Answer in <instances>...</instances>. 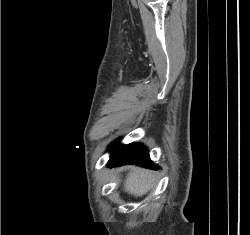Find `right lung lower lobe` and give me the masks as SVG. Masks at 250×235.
Listing matches in <instances>:
<instances>
[{"instance_id": "obj_1", "label": "right lung lower lobe", "mask_w": 250, "mask_h": 235, "mask_svg": "<svg viewBox=\"0 0 250 235\" xmlns=\"http://www.w3.org/2000/svg\"><path fill=\"white\" fill-rule=\"evenodd\" d=\"M111 158L108 161V166H119L125 164H136L147 168L158 169L149 158L148 149L140 143H131L128 145L112 144Z\"/></svg>"}]
</instances>
